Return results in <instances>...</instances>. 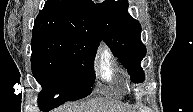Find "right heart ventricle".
<instances>
[{"label":"right heart ventricle","mask_w":193,"mask_h":112,"mask_svg":"<svg viewBox=\"0 0 193 112\" xmlns=\"http://www.w3.org/2000/svg\"><path fill=\"white\" fill-rule=\"evenodd\" d=\"M96 71L101 80L113 84L119 73V65L113 51L103 46L99 49L96 59Z\"/></svg>","instance_id":"e07e8e85"}]
</instances>
